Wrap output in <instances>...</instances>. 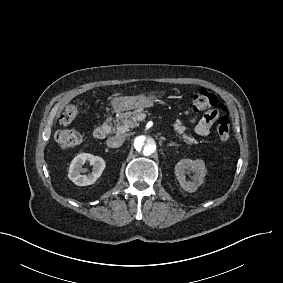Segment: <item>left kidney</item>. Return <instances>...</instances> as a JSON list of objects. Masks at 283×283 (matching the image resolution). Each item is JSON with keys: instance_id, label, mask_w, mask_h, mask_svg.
I'll list each match as a JSON object with an SVG mask.
<instances>
[{"instance_id": "5707ae66", "label": "left kidney", "mask_w": 283, "mask_h": 283, "mask_svg": "<svg viewBox=\"0 0 283 283\" xmlns=\"http://www.w3.org/2000/svg\"><path fill=\"white\" fill-rule=\"evenodd\" d=\"M175 175L180 183L182 189L187 192H195L199 186L203 184L204 177L206 175L205 163L201 159L191 160L182 159L175 165ZM186 170L194 172L193 181H186Z\"/></svg>"}]
</instances>
